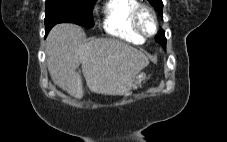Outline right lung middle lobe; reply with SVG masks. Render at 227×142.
<instances>
[{
  "instance_id": "dd1d6c3e",
  "label": "right lung middle lobe",
  "mask_w": 227,
  "mask_h": 142,
  "mask_svg": "<svg viewBox=\"0 0 227 142\" xmlns=\"http://www.w3.org/2000/svg\"><path fill=\"white\" fill-rule=\"evenodd\" d=\"M96 0H46L45 30L63 22H71L92 28L94 20L92 10Z\"/></svg>"
}]
</instances>
